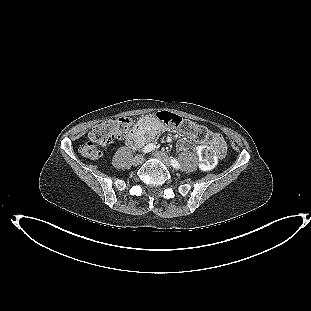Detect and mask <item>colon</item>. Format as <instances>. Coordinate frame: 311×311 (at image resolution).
I'll use <instances>...</instances> for the list:
<instances>
[{"label":"colon","instance_id":"colon-1","mask_svg":"<svg viewBox=\"0 0 311 311\" xmlns=\"http://www.w3.org/2000/svg\"><path fill=\"white\" fill-rule=\"evenodd\" d=\"M157 118L164 124L176 127L181 132L191 136L197 143H212V147H204L200 151L203 165L213 166L216 160L224 155L223 140L212 134L204 126L168 111L158 112ZM134 125V118L128 116L101 121L91 129L88 140L80 147L81 155L91 160L98 159L102 155L103 149L113 141L124 138L134 128Z\"/></svg>","mask_w":311,"mask_h":311}]
</instances>
